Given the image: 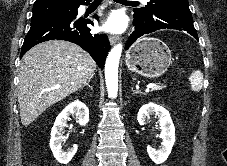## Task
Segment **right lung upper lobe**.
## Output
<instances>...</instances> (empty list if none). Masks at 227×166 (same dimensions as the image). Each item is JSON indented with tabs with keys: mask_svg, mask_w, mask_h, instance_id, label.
<instances>
[{
	"mask_svg": "<svg viewBox=\"0 0 227 166\" xmlns=\"http://www.w3.org/2000/svg\"><path fill=\"white\" fill-rule=\"evenodd\" d=\"M91 0H36L34 5L44 4H66V5H78Z\"/></svg>",
	"mask_w": 227,
	"mask_h": 166,
	"instance_id": "cb5924a9",
	"label": "right lung upper lobe"
}]
</instances>
